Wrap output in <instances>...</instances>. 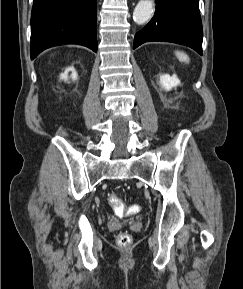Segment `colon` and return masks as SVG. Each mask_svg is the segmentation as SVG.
Instances as JSON below:
<instances>
[{"instance_id":"1","label":"colon","mask_w":243,"mask_h":289,"mask_svg":"<svg viewBox=\"0 0 243 289\" xmlns=\"http://www.w3.org/2000/svg\"><path fill=\"white\" fill-rule=\"evenodd\" d=\"M109 204L113 209L115 215L118 217H125L128 215L136 214L140 211V206L137 204L127 207L123 201L116 195H111ZM132 242V238L128 233L122 232L117 237V243L120 246H128Z\"/></svg>"}]
</instances>
